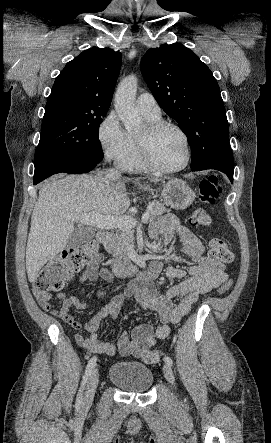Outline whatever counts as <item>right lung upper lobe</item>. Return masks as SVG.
Wrapping results in <instances>:
<instances>
[{"instance_id":"1","label":"right lung upper lobe","mask_w":271,"mask_h":443,"mask_svg":"<svg viewBox=\"0 0 271 443\" xmlns=\"http://www.w3.org/2000/svg\"><path fill=\"white\" fill-rule=\"evenodd\" d=\"M121 61V53L109 48L83 51L56 77L47 104L72 102L94 111H108Z\"/></svg>"}]
</instances>
